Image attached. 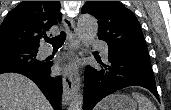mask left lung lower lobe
I'll return each mask as SVG.
<instances>
[{"label":"left lung lower lobe","instance_id":"1","mask_svg":"<svg viewBox=\"0 0 171 110\" xmlns=\"http://www.w3.org/2000/svg\"><path fill=\"white\" fill-rule=\"evenodd\" d=\"M107 64L102 69L86 68L83 110H92L107 95L128 86H142L159 100L150 62L132 59L108 51Z\"/></svg>","mask_w":171,"mask_h":110}]
</instances>
